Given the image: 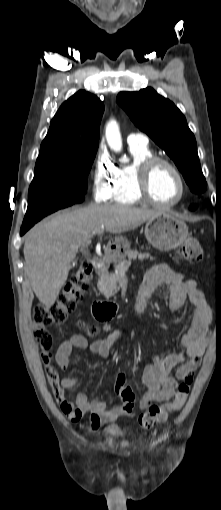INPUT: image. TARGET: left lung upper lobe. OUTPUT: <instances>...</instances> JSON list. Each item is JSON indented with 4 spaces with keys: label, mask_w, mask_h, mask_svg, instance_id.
<instances>
[{
    "label": "left lung upper lobe",
    "mask_w": 221,
    "mask_h": 510,
    "mask_svg": "<svg viewBox=\"0 0 221 510\" xmlns=\"http://www.w3.org/2000/svg\"><path fill=\"white\" fill-rule=\"evenodd\" d=\"M117 103L133 123L173 159L190 189L203 193L207 183L201 171L196 140L181 111L152 88L120 92Z\"/></svg>",
    "instance_id": "left-lung-upper-lobe-1"
}]
</instances>
